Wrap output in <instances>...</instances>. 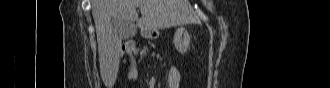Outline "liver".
I'll list each match as a JSON object with an SVG mask.
<instances>
[{"label":"liver","mask_w":330,"mask_h":88,"mask_svg":"<svg viewBox=\"0 0 330 88\" xmlns=\"http://www.w3.org/2000/svg\"><path fill=\"white\" fill-rule=\"evenodd\" d=\"M140 8L138 18L136 8ZM101 78L114 86L120 63L122 38L114 29V21H137L141 34L150 31L194 23L198 20L188 0H93Z\"/></svg>","instance_id":"6515ba94"}]
</instances>
